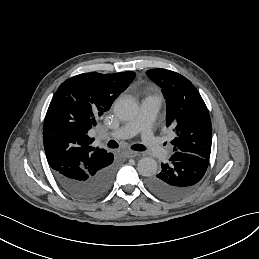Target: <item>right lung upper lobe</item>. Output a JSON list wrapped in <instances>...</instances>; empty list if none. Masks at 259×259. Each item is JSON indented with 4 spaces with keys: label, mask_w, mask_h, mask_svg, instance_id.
Masks as SVG:
<instances>
[{
    "label": "right lung upper lobe",
    "mask_w": 259,
    "mask_h": 259,
    "mask_svg": "<svg viewBox=\"0 0 259 259\" xmlns=\"http://www.w3.org/2000/svg\"><path fill=\"white\" fill-rule=\"evenodd\" d=\"M134 77V72L85 73L59 86L43 125L45 154L54 171L83 176L104 164L109 153L92 145L88 131Z\"/></svg>",
    "instance_id": "cb5924a9"
}]
</instances>
